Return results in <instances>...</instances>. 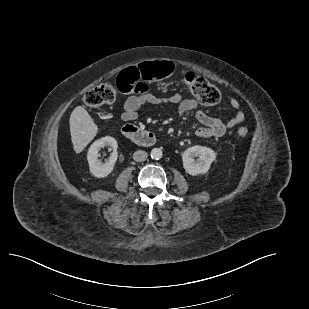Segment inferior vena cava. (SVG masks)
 Listing matches in <instances>:
<instances>
[{"label":"inferior vena cava","mask_w":309,"mask_h":309,"mask_svg":"<svg viewBox=\"0 0 309 309\" xmlns=\"http://www.w3.org/2000/svg\"><path fill=\"white\" fill-rule=\"evenodd\" d=\"M148 157L147 152L138 150L133 154V159L137 162L145 161Z\"/></svg>","instance_id":"obj_1"}]
</instances>
